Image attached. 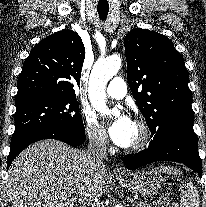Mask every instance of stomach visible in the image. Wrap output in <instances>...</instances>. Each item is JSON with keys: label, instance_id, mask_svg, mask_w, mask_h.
Listing matches in <instances>:
<instances>
[{"label": "stomach", "instance_id": "0dacf381", "mask_svg": "<svg viewBox=\"0 0 206 207\" xmlns=\"http://www.w3.org/2000/svg\"><path fill=\"white\" fill-rule=\"evenodd\" d=\"M118 182L128 190L142 197H152L159 192L164 180L153 170L130 173L124 178H117Z\"/></svg>", "mask_w": 206, "mask_h": 207}]
</instances>
